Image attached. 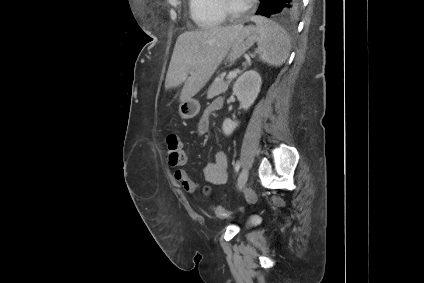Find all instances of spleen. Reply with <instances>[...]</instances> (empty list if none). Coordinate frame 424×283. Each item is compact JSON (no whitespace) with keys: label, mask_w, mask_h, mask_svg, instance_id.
Listing matches in <instances>:
<instances>
[{"label":"spleen","mask_w":424,"mask_h":283,"mask_svg":"<svg viewBox=\"0 0 424 283\" xmlns=\"http://www.w3.org/2000/svg\"><path fill=\"white\" fill-rule=\"evenodd\" d=\"M254 21L259 33L258 53L260 59L270 66H281L291 49L288 34L280 25L264 17L255 16Z\"/></svg>","instance_id":"1"}]
</instances>
